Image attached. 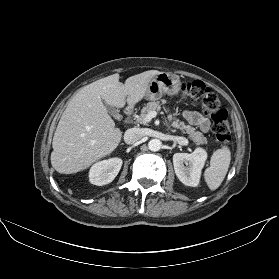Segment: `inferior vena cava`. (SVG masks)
Returning <instances> with one entry per match:
<instances>
[{
  "label": "inferior vena cava",
  "instance_id": "1",
  "mask_svg": "<svg viewBox=\"0 0 279 279\" xmlns=\"http://www.w3.org/2000/svg\"><path fill=\"white\" fill-rule=\"evenodd\" d=\"M143 137L141 131L137 128L128 129L124 134V141L127 144H132L139 141Z\"/></svg>",
  "mask_w": 279,
  "mask_h": 279
}]
</instances>
